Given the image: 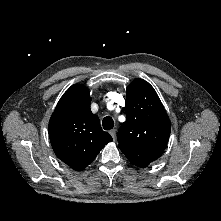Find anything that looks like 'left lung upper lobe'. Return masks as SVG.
Returning a JSON list of instances; mask_svg holds the SVG:
<instances>
[{"label":"left lung upper lobe","mask_w":221,"mask_h":221,"mask_svg":"<svg viewBox=\"0 0 221 221\" xmlns=\"http://www.w3.org/2000/svg\"><path fill=\"white\" fill-rule=\"evenodd\" d=\"M126 121L119 128L120 150L138 167L158 159L170 136L168 115L154 88L143 79L127 87Z\"/></svg>","instance_id":"5c2ea615"}]
</instances>
